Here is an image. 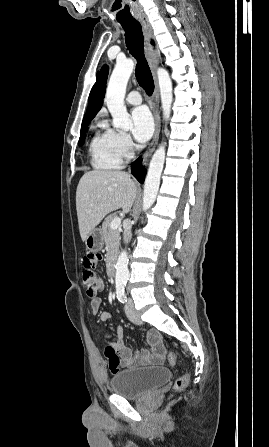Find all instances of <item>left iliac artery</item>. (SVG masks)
<instances>
[{"label": "left iliac artery", "instance_id": "1", "mask_svg": "<svg viewBox=\"0 0 269 447\" xmlns=\"http://www.w3.org/2000/svg\"><path fill=\"white\" fill-rule=\"evenodd\" d=\"M125 286L126 282H121L116 284V295L120 302L124 303L127 302L126 295H125Z\"/></svg>", "mask_w": 269, "mask_h": 447}]
</instances>
